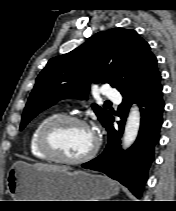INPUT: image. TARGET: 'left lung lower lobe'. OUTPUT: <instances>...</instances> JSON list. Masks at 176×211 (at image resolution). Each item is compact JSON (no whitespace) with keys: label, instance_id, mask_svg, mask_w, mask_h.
Returning a JSON list of instances; mask_svg holds the SVG:
<instances>
[{"label":"left lung lower lobe","instance_id":"1","mask_svg":"<svg viewBox=\"0 0 176 211\" xmlns=\"http://www.w3.org/2000/svg\"><path fill=\"white\" fill-rule=\"evenodd\" d=\"M161 74L137 89L123 95L119 106V129L113 127V116L105 126L108 131V144L97 158L82 164L83 168L104 172L118 180L140 198L147 172L154 158V146L159 140V129L162 125L164 102L162 97ZM132 103L141 108V125L134 145L126 151L120 149V136L124 129L127 113Z\"/></svg>","mask_w":176,"mask_h":211}]
</instances>
